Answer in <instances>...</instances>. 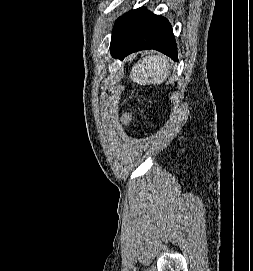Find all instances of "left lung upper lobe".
I'll return each instance as SVG.
<instances>
[{"label": "left lung upper lobe", "mask_w": 253, "mask_h": 271, "mask_svg": "<svg viewBox=\"0 0 253 271\" xmlns=\"http://www.w3.org/2000/svg\"><path fill=\"white\" fill-rule=\"evenodd\" d=\"M119 19H120V18H118V20L116 21V23H115V26H114V28H113L112 33L114 32V30H115V28H116V26H117V24H118V22H119Z\"/></svg>", "instance_id": "5c2ea615"}]
</instances>
